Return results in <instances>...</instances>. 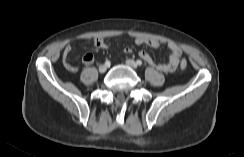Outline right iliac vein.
<instances>
[{"mask_svg": "<svg viewBox=\"0 0 244 157\" xmlns=\"http://www.w3.org/2000/svg\"><path fill=\"white\" fill-rule=\"evenodd\" d=\"M107 68H108V66L106 64H103L99 67V72L104 73V72H106Z\"/></svg>", "mask_w": 244, "mask_h": 157, "instance_id": "1", "label": "right iliac vein"}]
</instances>
